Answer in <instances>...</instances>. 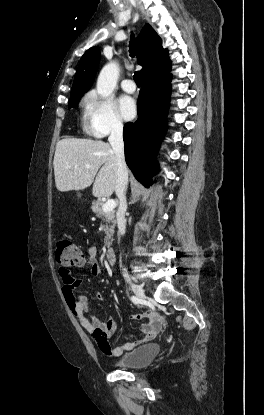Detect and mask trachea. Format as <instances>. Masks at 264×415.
Returning a JSON list of instances; mask_svg holds the SVG:
<instances>
[{"label": "trachea", "instance_id": "3493384b", "mask_svg": "<svg viewBox=\"0 0 264 415\" xmlns=\"http://www.w3.org/2000/svg\"><path fill=\"white\" fill-rule=\"evenodd\" d=\"M129 47H130V49H129L130 56L133 58L135 56V52H136V50H135V40H134V35L133 34L131 35L130 46ZM134 81L137 84V86H141V75L138 71H136L134 73Z\"/></svg>", "mask_w": 264, "mask_h": 415}]
</instances>
